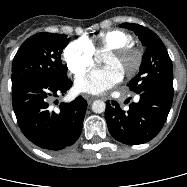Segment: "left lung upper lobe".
Returning <instances> with one entry per match:
<instances>
[{
  "mask_svg": "<svg viewBox=\"0 0 187 187\" xmlns=\"http://www.w3.org/2000/svg\"><path fill=\"white\" fill-rule=\"evenodd\" d=\"M120 27L130 29L146 47L139 73L127 84L135 93L159 90L173 93L172 61L161 39L150 29L134 23Z\"/></svg>",
  "mask_w": 187,
  "mask_h": 187,
  "instance_id": "5c2ea615",
  "label": "left lung upper lobe"
}]
</instances>
